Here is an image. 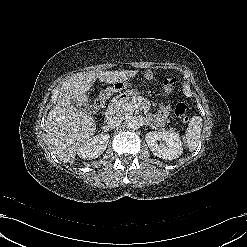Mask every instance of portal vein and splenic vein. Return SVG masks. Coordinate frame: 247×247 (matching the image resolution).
Listing matches in <instances>:
<instances>
[{
	"label": "portal vein and splenic vein",
	"mask_w": 247,
	"mask_h": 247,
	"mask_svg": "<svg viewBox=\"0 0 247 247\" xmlns=\"http://www.w3.org/2000/svg\"><path fill=\"white\" fill-rule=\"evenodd\" d=\"M128 110L131 111V112H134V110L138 109V105H129L128 107Z\"/></svg>",
	"instance_id": "18ae733b"
}]
</instances>
